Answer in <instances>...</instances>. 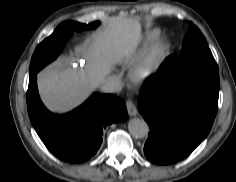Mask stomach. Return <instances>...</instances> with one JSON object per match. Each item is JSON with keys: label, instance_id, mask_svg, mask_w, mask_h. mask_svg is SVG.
Listing matches in <instances>:
<instances>
[{"label": "stomach", "instance_id": "stomach-1", "mask_svg": "<svg viewBox=\"0 0 236 182\" xmlns=\"http://www.w3.org/2000/svg\"><path fill=\"white\" fill-rule=\"evenodd\" d=\"M128 19L137 20L136 18H131V17H130V18H128Z\"/></svg>", "mask_w": 236, "mask_h": 182}]
</instances>
